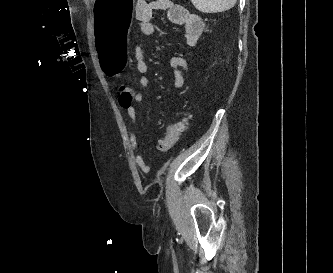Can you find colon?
Wrapping results in <instances>:
<instances>
[{
	"label": "colon",
	"mask_w": 333,
	"mask_h": 273,
	"mask_svg": "<svg viewBox=\"0 0 333 273\" xmlns=\"http://www.w3.org/2000/svg\"><path fill=\"white\" fill-rule=\"evenodd\" d=\"M134 100L133 89L128 84H121L119 86V105L127 109L132 106ZM187 120L182 119L168 126L165 135L159 140L157 149L161 153L169 151L179 139L181 133L186 127Z\"/></svg>",
	"instance_id": "5ec220e1"
}]
</instances>
